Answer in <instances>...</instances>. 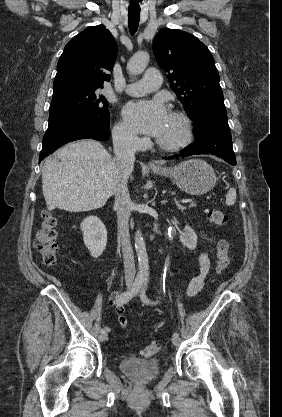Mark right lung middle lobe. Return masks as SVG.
<instances>
[{
	"label": "right lung middle lobe",
	"mask_w": 282,
	"mask_h": 417,
	"mask_svg": "<svg viewBox=\"0 0 282 417\" xmlns=\"http://www.w3.org/2000/svg\"><path fill=\"white\" fill-rule=\"evenodd\" d=\"M98 88H75L53 93L49 110V121L61 116L82 113L97 120H108V102L97 93Z\"/></svg>",
	"instance_id": "obj_1"
}]
</instances>
